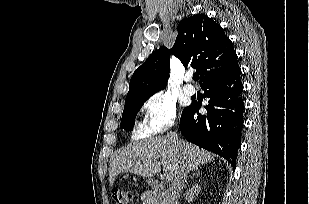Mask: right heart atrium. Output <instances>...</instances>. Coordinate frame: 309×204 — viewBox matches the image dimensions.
<instances>
[{
  "label": "right heart atrium",
  "instance_id": "d8ad5b80",
  "mask_svg": "<svg viewBox=\"0 0 309 204\" xmlns=\"http://www.w3.org/2000/svg\"><path fill=\"white\" fill-rule=\"evenodd\" d=\"M143 119L138 134L151 136L170 128L176 119L175 103L161 93L151 95L141 108Z\"/></svg>",
  "mask_w": 309,
  "mask_h": 204
}]
</instances>
